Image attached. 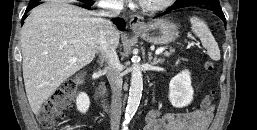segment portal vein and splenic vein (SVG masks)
<instances>
[{
	"label": "portal vein and splenic vein",
	"instance_id": "obj_1",
	"mask_svg": "<svg viewBox=\"0 0 257 130\" xmlns=\"http://www.w3.org/2000/svg\"><path fill=\"white\" fill-rule=\"evenodd\" d=\"M164 50H165L164 48L157 49V50L155 51V54H156V55L161 54ZM69 61L72 62V63H73V62H76V61H77V58H76V57H72V58H70Z\"/></svg>",
	"mask_w": 257,
	"mask_h": 130
}]
</instances>
